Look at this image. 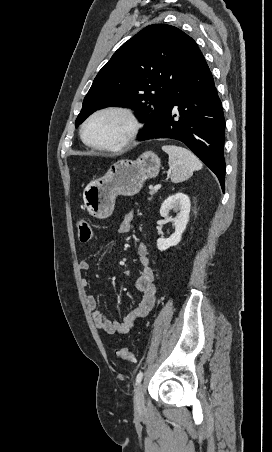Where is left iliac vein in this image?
Masks as SVG:
<instances>
[{
	"mask_svg": "<svg viewBox=\"0 0 272 452\" xmlns=\"http://www.w3.org/2000/svg\"><path fill=\"white\" fill-rule=\"evenodd\" d=\"M145 409L143 385L138 384L134 394V410L136 414H142Z\"/></svg>",
	"mask_w": 272,
	"mask_h": 452,
	"instance_id": "left-iliac-vein-1",
	"label": "left iliac vein"
}]
</instances>
